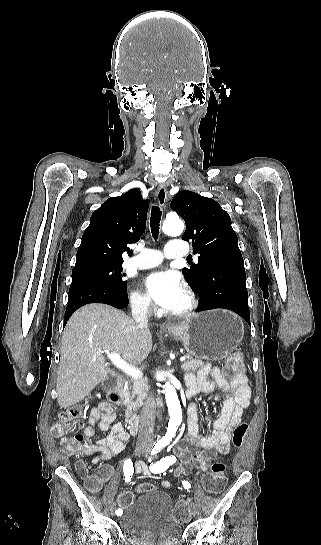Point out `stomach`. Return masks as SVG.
Here are the masks:
<instances>
[{
  "mask_svg": "<svg viewBox=\"0 0 321 545\" xmlns=\"http://www.w3.org/2000/svg\"><path fill=\"white\" fill-rule=\"evenodd\" d=\"M166 333L181 341L189 355L197 359L218 361L239 347L244 325L235 313L215 309L196 313Z\"/></svg>",
  "mask_w": 321,
  "mask_h": 545,
  "instance_id": "1",
  "label": "stomach"
}]
</instances>
